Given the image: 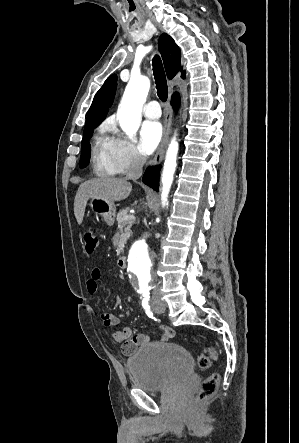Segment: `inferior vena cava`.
<instances>
[{
	"mask_svg": "<svg viewBox=\"0 0 299 443\" xmlns=\"http://www.w3.org/2000/svg\"><path fill=\"white\" fill-rule=\"evenodd\" d=\"M145 162H146V158L144 156H142L141 154H136L134 156L132 164L129 168V171L126 174V179L136 180V179L140 178V176L142 175V169H143ZM159 292H160L159 285L158 284L153 285L152 294L155 296V295H158Z\"/></svg>",
	"mask_w": 299,
	"mask_h": 443,
	"instance_id": "obj_1",
	"label": "inferior vena cava"
}]
</instances>
